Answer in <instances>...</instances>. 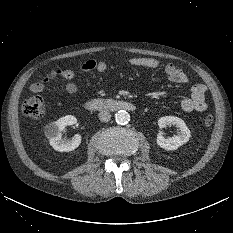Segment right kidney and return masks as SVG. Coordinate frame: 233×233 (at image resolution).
<instances>
[{
    "label": "right kidney",
    "instance_id": "ca27d5eb",
    "mask_svg": "<svg viewBox=\"0 0 233 233\" xmlns=\"http://www.w3.org/2000/svg\"><path fill=\"white\" fill-rule=\"evenodd\" d=\"M77 119L73 115H66L46 127V136L50 145L59 152H69L76 149L81 143V136L76 134L70 140L62 139V131L68 125H74Z\"/></svg>",
    "mask_w": 233,
    "mask_h": 233
}]
</instances>
